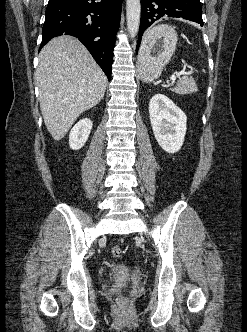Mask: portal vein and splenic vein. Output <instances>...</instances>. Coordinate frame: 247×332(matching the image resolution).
Segmentation results:
<instances>
[{
  "instance_id": "1",
  "label": "portal vein and splenic vein",
  "mask_w": 247,
  "mask_h": 332,
  "mask_svg": "<svg viewBox=\"0 0 247 332\" xmlns=\"http://www.w3.org/2000/svg\"><path fill=\"white\" fill-rule=\"evenodd\" d=\"M184 74H186V72H185V70H182V71L177 72L175 75H172V77H171L172 82H174L177 77H180L181 75H184Z\"/></svg>"
}]
</instances>
